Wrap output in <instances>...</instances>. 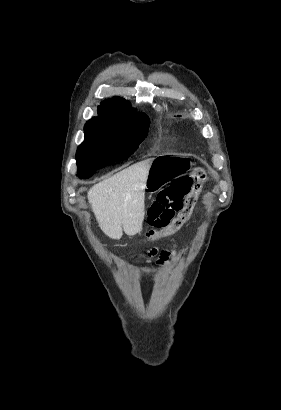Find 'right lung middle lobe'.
<instances>
[{
  "mask_svg": "<svg viewBox=\"0 0 281 410\" xmlns=\"http://www.w3.org/2000/svg\"><path fill=\"white\" fill-rule=\"evenodd\" d=\"M149 125L148 117L131 122L89 120L76 153L78 176L88 178L97 169L128 159L147 136Z\"/></svg>",
  "mask_w": 281,
  "mask_h": 410,
  "instance_id": "dd1d6c3e",
  "label": "right lung middle lobe"
}]
</instances>
